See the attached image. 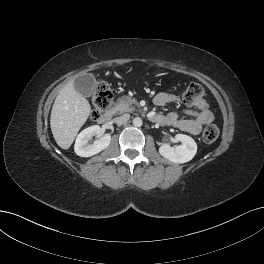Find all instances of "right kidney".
Wrapping results in <instances>:
<instances>
[{
	"label": "right kidney",
	"instance_id": "obj_1",
	"mask_svg": "<svg viewBox=\"0 0 264 264\" xmlns=\"http://www.w3.org/2000/svg\"><path fill=\"white\" fill-rule=\"evenodd\" d=\"M100 133L101 128L98 125L90 126L81 131L75 141V153L81 157H90L106 149L111 142L110 134H106L100 140H96L93 144L88 143L91 137L99 135Z\"/></svg>",
	"mask_w": 264,
	"mask_h": 264
}]
</instances>
